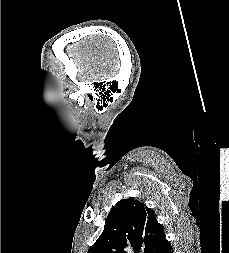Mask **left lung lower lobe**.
<instances>
[{"mask_svg":"<svg viewBox=\"0 0 229 253\" xmlns=\"http://www.w3.org/2000/svg\"><path fill=\"white\" fill-rule=\"evenodd\" d=\"M154 253H173L171 244L164 237L159 245L154 250Z\"/></svg>","mask_w":229,"mask_h":253,"instance_id":"left-lung-lower-lobe-1","label":"left lung lower lobe"}]
</instances>
